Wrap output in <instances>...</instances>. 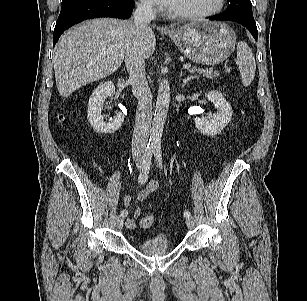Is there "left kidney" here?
<instances>
[{"label":"left kidney","mask_w":307,"mask_h":301,"mask_svg":"<svg viewBox=\"0 0 307 301\" xmlns=\"http://www.w3.org/2000/svg\"><path fill=\"white\" fill-rule=\"evenodd\" d=\"M209 101L217 107V113L209 120L204 117H196L194 122L196 128L205 135L214 136L219 134L232 118V107L223 95L217 91H210L207 95Z\"/></svg>","instance_id":"1"}]
</instances>
